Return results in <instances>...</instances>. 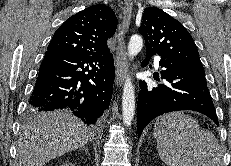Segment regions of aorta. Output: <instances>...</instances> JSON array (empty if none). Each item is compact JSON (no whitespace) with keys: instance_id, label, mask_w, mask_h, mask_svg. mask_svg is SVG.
Here are the masks:
<instances>
[{"instance_id":"1","label":"aorta","mask_w":231,"mask_h":166,"mask_svg":"<svg viewBox=\"0 0 231 166\" xmlns=\"http://www.w3.org/2000/svg\"><path fill=\"white\" fill-rule=\"evenodd\" d=\"M143 48V39L139 35H133L128 44V55L130 58L136 56ZM123 124L129 127L135 115V92L131 78L125 79L122 95Z\"/></svg>"}]
</instances>
